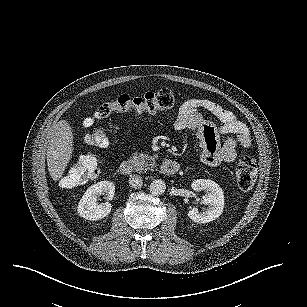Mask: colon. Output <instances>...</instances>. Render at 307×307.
Instances as JSON below:
<instances>
[{
	"mask_svg": "<svg viewBox=\"0 0 307 307\" xmlns=\"http://www.w3.org/2000/svg\"><path fill=\"white\" fill-rule=\"evenodd\" d=\"M174 104V93L167 88L156 92H148L139 97L121 94L100 104L94 113V117L105 118L114 112H123L132 109L139 112H154L170 109ZM92 123L93 118L87 119L86 125L89 126ZM85 142L92 147H106L109 144V137L103 129L97 128L86 136ZM98 173V159L91 154H84L70 165L60 178V184L66 188L75 187L95 177ZM256 177L257 169L254 159L248 154H242L236 166L238 186L242 190H250L256 182Z\"/></svg>",
	"mask_w": 307,
	"mask_h": 307,
	"instance_id": "5ec220e1",
	"label": "colon"
}]
</instances>
